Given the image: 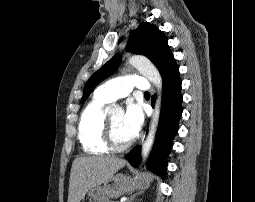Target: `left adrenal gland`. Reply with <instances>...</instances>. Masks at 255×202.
<instances>
[{"label":"left adrenal gland","mask_w":255,"mask_h":202,"mask_svg":"<svg viewBox=\"0 0 255 202\" xmlns=\"http://www.w3.org/2000/svg\"><path fill=\"white\" fill-rule=\"evenodd\" d=\"M132 200H133V198H131L129 202H131Z\"/></svg>","instance_id":"1"}]
</instances>
